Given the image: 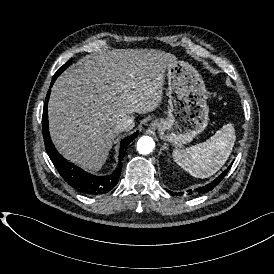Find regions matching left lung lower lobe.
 I'll list each match as a JSON object with an SVG mask.
<instances>
[{
  "instance_id": "0a47b994",
  "label": "left lung lower lobe",
  "mask_w": 274,
  "mask_h": 274,
  "mask_svg": "<svg viewBox=\"0 0 274 274\" xmlns=\"http://www.w3.org/2000/svg\"><path fill=\"white\" fill-rule=\"evenodd\" d=\"M233 163V162H232ZM232 163L231 165L228 167L229 169L231 168L232 166ZM228 170H225L221 175H219L214 181H212L211 183L203 186V187H200L197 189L198 193H205V192H208V191H211L217 184L220 183V181L225 177V175L227 174Z\"/></svg>"
}]
</instances>
